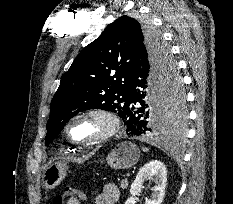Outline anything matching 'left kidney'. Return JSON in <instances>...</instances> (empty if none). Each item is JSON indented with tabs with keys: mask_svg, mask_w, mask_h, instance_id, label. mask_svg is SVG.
<instances>
[{
	"mask_svg": "<svg viewBox=\"0 0 233 204\" xmlns=\"http://www.w3.org/2000/svg\"><path fill=\"white\" fill-rule=\"evenodd\" d=\"M152 180L155 182V186L152 188V195L146 200L145 204H161L165 195V188L167 183V170L165 165L158 161L153 160L144 165L138 172L136 179L131 185L130 193L131 197L127 199L125 204H135L136 195L142 189V185L146 180Z\"/></svg>",
	"mask_w": 233,
	"mask_h": 204,
	"instance_id": "left-kidney-1",
	"label": "left kidney"
}]
</instances>
